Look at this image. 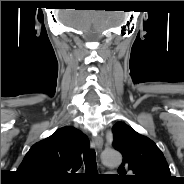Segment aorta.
Here are the masks:
<instances>
[{"mask_svg": "<svg viewBox=\"0 0 184 184\" xmlns=\"http://www.w3.org/2000/svg\"><path fill=\"white\" fill-rule=\"evenodd\" d=\"M102 161L106 166H119L122 162V156L116 150H105L102 153Z\"/></svg>", "mask_w": 184, "mask_h": 184, "instance_id": "aorta-1", "label": "aorta"}]
</instances>
